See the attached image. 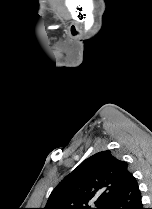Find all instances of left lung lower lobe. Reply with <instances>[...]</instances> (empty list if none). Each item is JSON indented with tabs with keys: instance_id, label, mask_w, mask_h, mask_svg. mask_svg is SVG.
<instances>
[{
	"instance_id": "left-lung-lower-lobe-1",
	"label": "left lung lower lobe",
	"mask_w": 152,
	"mask_h": 209,
	"mask_svg": "<svg viewBox=\"0 0 152 209\" xmlns=\"http://www.w3.org/2000/svg\"><path fill=\"white\" fill-rule=\"evenodd\" d=\"M108 209H143L139 187L133 175L130 176L121 195Z\"/></svg>"
}]
</instances>
